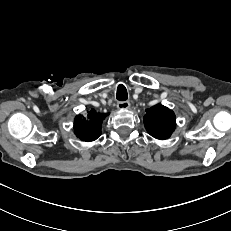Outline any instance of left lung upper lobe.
Wrapping results in <instances>:
<instances>
[{
    "instance_id": "5c2ea615",
    "label": "left lung upper lobe",
    "mask_w": 231,
    "mask_h": 231,
    "mask_svg": "<svg viewBox=\"0 0 231 231\" xmlns=\"http://www.w3.org/2000/svg\"><path fill=\"white\" fill-rule=\"evenodd\" d=\"M143 119L146 130L156 139H167L175 130V114L163 105L158 104L147 109Z\"/></svg>"
}]
</instances>
